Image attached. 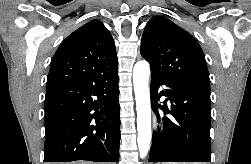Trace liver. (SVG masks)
Instances as JSON below:
<instances>
[{
	"instance_id": "obj_1",
	"label": "liver",
	"mask_w": 251,
	"mask_h": 164,
	"mask_svg": "<svg viewBox=\"0 0 251 164\" xmlns=\"http://www.w3.org/2000/svg\"><path fill=\"white\" fill-rule=\"evenodd\" d=\"M69 164H93V163H88V162H74V163H69Z\"/></svg>"
}]
</instances>
